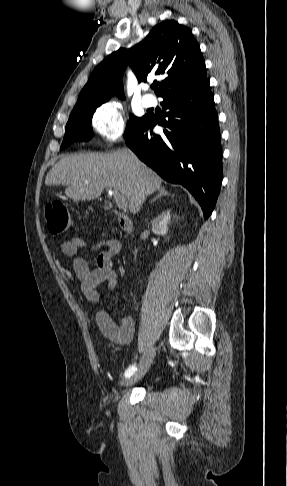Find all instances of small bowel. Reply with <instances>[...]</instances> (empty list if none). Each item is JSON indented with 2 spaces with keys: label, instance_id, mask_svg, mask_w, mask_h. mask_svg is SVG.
Segmentation results:
<instances>
[{
  "label": "small bowel",
  "instance_id": "small-bowel-1",
  "mask_svg": "<svg viewBox=\"0 0 287 486\" xmlns=\"http://www.w3.org/2000/svg\"><path fill=\"white\" fill-rule=\"evenodd\" d=\"M121 242L117 239L99 240L89 244L84 239L72 236L62 242L60 249L63 255L73 258V269L81 282V290L87 300L97 303L100 300L98 287L106 283L109 289L117 286V274L113 266V257L121 251ZM102 250L97 256V267L91 268L87 261L78 256L80 249L91 251ZM97 323L103 335L117 344H128L134 336L135 323L129 317L113 318L107 311L97 313Z\"/></svg>",
  "mask_w": 287,
  "mask_h": 486
}]
</instances>
